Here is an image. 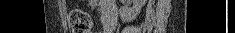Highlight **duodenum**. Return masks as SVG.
<instances>
[{"instance_id": "410a0bca", "label": "duodenum", "mask_w": 235, "mask_h": 33, "mask_svg": "<svg viewBox=\"0 0 235 33\" xmlns=\"http://www.w3.org/2000/svg\"><path fill=\"white\" fill-rule=\"evenodd\" d=\"M117 25V8H109L104 20V33H112Z\"/></svg>"}]
</instances>
